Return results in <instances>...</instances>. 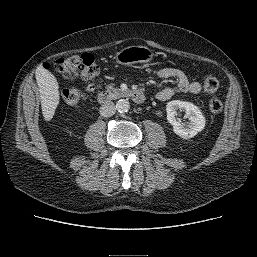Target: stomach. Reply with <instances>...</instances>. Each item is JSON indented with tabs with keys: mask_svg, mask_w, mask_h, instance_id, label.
Segmentation results:
<instances>
[{
	"mask_svg": "<svg viewBox=\"0 0 257 257\" xmlns=\"http://www.w3.org/2000/svg\"><path fill=\"white\" fill-rule=\"evenodd\" d=\"M153 56V51L145 46H128L116 53L115 60L119 64L132 65L150 62Z\"/></svg>",
	"mask_w": 257,
	"mask_h": 257,
	"instance_id": "stomach-1",
	"label": "stomach"
}]
</instances>
